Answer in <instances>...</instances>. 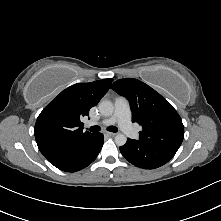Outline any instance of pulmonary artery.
<instances>
[{"label":"pulmonary artery","instance_id":"obj_1","mask_svg":"<svg viewBox=\"0 0 221 221\" xmlns=\"http://www.w3.org/2000/svg\"><path fill=\"white\" fill-rule=\"evenodd\" d=\"M115 110L111 117L103 120L100 124L108 126L118 123L122 131L130 138H136L137 132L131 122V109L129 101L122 96L116 97L114 101ZM94 122H88V125H94Z\"/></svg>","mask_w":221,"mask_h":221}]
</instances>
